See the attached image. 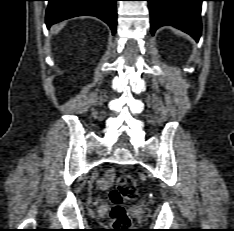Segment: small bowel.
I'll list each match as a JSON object with an SVG mask.
<instances>
[{"instance_id":"c3829d8e","label":"small bowel","mask_w":234,"mask_h":231,"mask_svg":"<svg viewBox=\"0 0 234 231\" xmlns=\"http://www.w3.org/2000/svg\"><path fill=\"white\" fill-rule=\"evenodd\" d=\"M114 176H115V172L113 170L107 171L103 178H100L96 181L97 189L105 190L109 188L112 184Z\"/></svg>"}]
</instances>
